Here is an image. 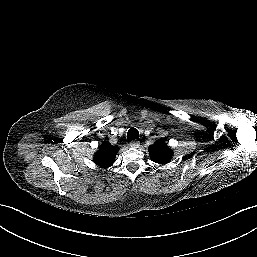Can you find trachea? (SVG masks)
Instances as JSON below:
<instances>
[{"instance_id": "trachea-1", "label": "trachea", "mask_w": 257, "mask_h": 257, "mask_svg": "<svg viewBox=\"0 0 257 257\" xmlns=\"http://www.w3.org/2000/svg\"><path fill=\"white\" fill-rule=\"evenodd\" d=\"M139 138V132L136 128H130L128 133H127V139L129 141L138 139Z\"/></svg>"}]
</instances>
